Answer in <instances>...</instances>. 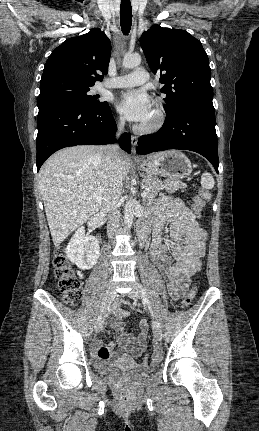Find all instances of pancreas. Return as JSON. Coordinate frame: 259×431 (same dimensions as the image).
Returning a JSON list of instances; mask_svg holds the SVG:
<instances>
[{
  "mask_svg": "<svg viewBox=\"0 0 259 431\" xmlns=\"http://www.w3.org/2000/svg\"><path fill=\"white\" fill-rule=\"evenodd\" d=\"M142 187L147 191V199H153L157 196L158 192L165 189L169 193H174L178 189H185L186 184L179 180H165L161 181L158 178H146L142 180Z\"/></svg>",
  "mask_w": 259,
  "mask_h": 431,
  "instance_id": "1",
  "label": "pancreas"
}]
</instances>
